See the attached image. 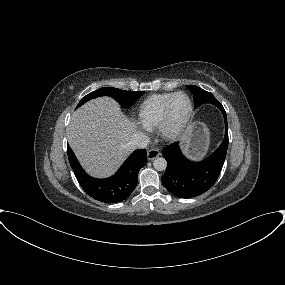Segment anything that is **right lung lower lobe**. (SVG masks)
I'll use <instances>...</instances> for the list:
<instances>
[{
  "label": "right lung lower lobe",
  "instance_id": "obj_1",
  "mask_svg": "<svg viewBox=\"0 0 285 285\" xmlns=\"http://www.w3.org/2000/svg\"><path fill=\"white\" fill-rule=\"evenodd\" d=\"M67 152L70 165L83 190L92 198L104 203H118L126 199L135 189L138 172L147 160L145 149L136 150L115 175L107 179H96L85 173L69 145Z\"/></svg>",
  "mask_w": 285,
  "mask_h": 285
}]
</instances>
